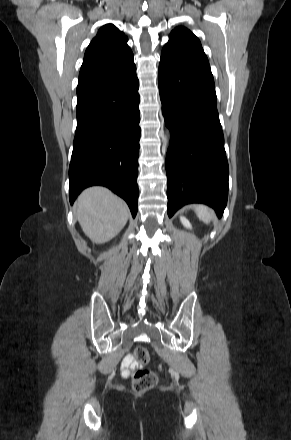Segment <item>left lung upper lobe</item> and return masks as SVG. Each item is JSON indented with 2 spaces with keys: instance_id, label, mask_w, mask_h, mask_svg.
Wrapping results in <instances>:
<instances>
[{
  "instance_id": "1",
  "label": "left lung upper lobe",
  "mask_w": 291,
  "mask_h": 440,
  "mask_svg": "<svg viewBox=\"0 0 291 440\" xmlns=\"http://www.w3.org/2000/svg\"><path fill=\"white\" fill-rule=\"evenodd\" d=\"M161 56L184 65L210 70L199 39L185 27H177L171 32Z\"/></svg>"
}]
</instances>
